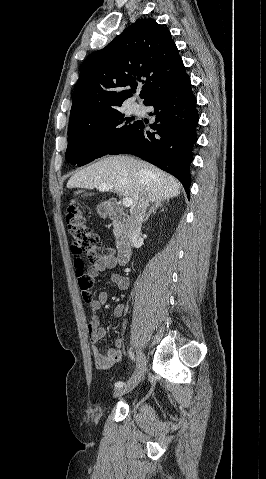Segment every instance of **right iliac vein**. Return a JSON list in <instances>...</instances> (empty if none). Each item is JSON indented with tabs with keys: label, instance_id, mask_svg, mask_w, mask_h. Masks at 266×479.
<instances>
[{
	"label": "right iliac vein",
	"instance_id": "right-iliac-vein-1",
	"mask_svg": "<svg viewBox=\"0 0 266 479\" xmlns=\"http://www.w3.org/2000/svg\"><path fill=\"white\" fill-rule=\"evenodd\" d=\"M146 370V359L143 353H140L138 359V366L133 376L122 386L118 387L114 391V397H120L126 393L132 391L140 382Z\"/></svg>",
	"mask_w": 266,
	"mask_h": 479
}]
</instances>
